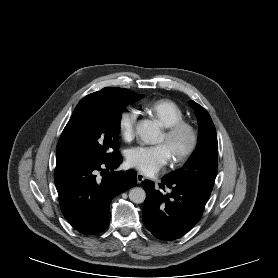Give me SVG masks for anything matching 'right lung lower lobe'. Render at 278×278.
Segmentation results:
<instances>
[{
	"label": "right lung lower lobe",
	"instance_id": "1",
	"mask_svg": "<svg viewBox=\"0 0 278 278\" xmlns=\"http://www.w3.org/2000/svg\"><path fill=\"white\" fill-rule=\"evenodd\" d=\"M121 162L119 154L108 160L56 167L54 180L61 211L79 232H102L111 218L109 206L113 197L136 184L134 170L114 171Z\"/></svg>",
	"mask_w": 278,
	"mask_h": 278
}]
</instances>
